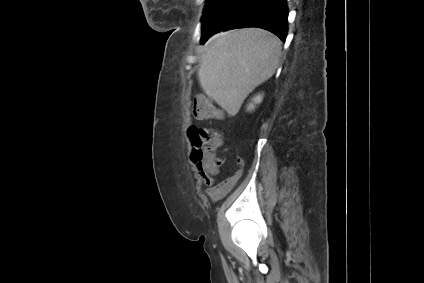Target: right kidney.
Instances as JSON below:
<instances>
[{
	"mask_svg": "<svg viewBox=\"0 0 424 283\" xmlns=\"http://www.w3.org/2000/svg\"><path fill=\"white\" fill-rule=\"evenodd\" d=\"M263 100V94H258L252 98L251 103L247 105V111H252L255 109L256 105L260 104Z\"/></svg>",
	"mask_w": 424,
	"mask_h": 283,
	"instance_id": "1",
	"label": "right kidney"
}]
</instances>
